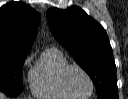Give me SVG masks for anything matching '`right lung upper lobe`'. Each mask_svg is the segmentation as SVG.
<instances>
[{"label": "right lung upper lobe", "mask_w": 128, "mask_h": 99, "mask_svg": "<svg viewBox=\"0 0 128 99\" xmlns=\"http://www.w3.org/2000/svg\"><path fill=\"white\" fill-rule=\"evenodd\" d=\"M40 15L18 1L0 8V52L28 53L35 39Z\"/></svg>", "instance_id": "1"}]
</instances>
